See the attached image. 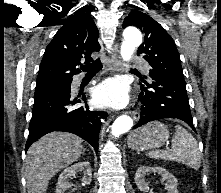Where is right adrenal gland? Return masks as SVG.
<instances>
[{
	"mask_svg": "<svg viewBox=\"0 0 221 193\" xmlns=\"http://www.w3.org/2000/svg\"><path fill=\"white\" fill-rule=\"evenodd\" d=\"M85 151H86V149H85V148H83V152H82V154H83V155L85 154Z\"/></svg>",
	"mask_w": 221,
	"mask_h": 193,
	"instance_id": "2a0ac1e0",
	"label": "right adrenal gland"
}]
</instances>
